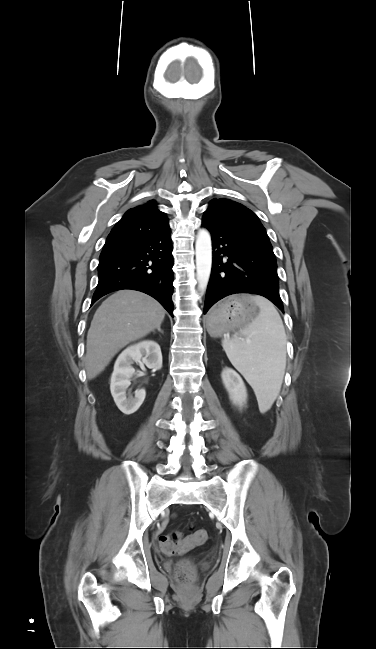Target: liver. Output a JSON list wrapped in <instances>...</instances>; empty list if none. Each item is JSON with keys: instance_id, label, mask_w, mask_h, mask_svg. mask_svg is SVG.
<instances>
[{"instance_id": "obj_1", "label": "liver", "mask_w": 376, "mask_h": 649, "mask_svg": "<svg viewBox=\"0 0 376 649\" xmlns=\"http://www.w3.org/2000/svg\"><path fill=\"white\" fill-rule=\"evenodd\" d=\"M165 310L149 295L120 290L109 296L94 314L87 334L86 372L95 378L128 343L160 327Z\"/></svg>"}]
</instances>
